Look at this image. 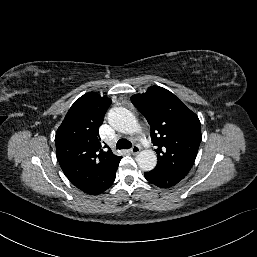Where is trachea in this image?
I'll list each match as a JSON object with an SVG mask.
<instances>
[{
  "instance_id": "3493384b",
  "label": "trachea",
  "mask_w": 257,
  "mask_h": 257,
  "mask_svg": "<svg viewBox=\"0 0 257 257\" xmlns=\"http://www.w3.org/2000/svg\"><path fill=\"white\" fill-rule=\"evenodd\" d=\"M132 147V143L127 139H120L117 142V149H129Z\"/></svg>"
}]
</instances>
